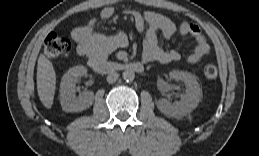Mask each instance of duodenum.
<instances>
[{
  "mask_svg": "<svg viewBox=\"0 0 259 156\" xmlns=\"http://www.w3.org/2000/svg\"><path fill=\"white\" fill-rule=\"evenodd\" d=\"M91 68L100 74H109L116 71H132L142 73L144 65L141 62H106L99 59H88Z\"/></svg>",
  "mask_w": 259,
  "mask_h": 156,
  "instance_id": "obj_1",
  "label": "duodenum"
}]
</instances>
